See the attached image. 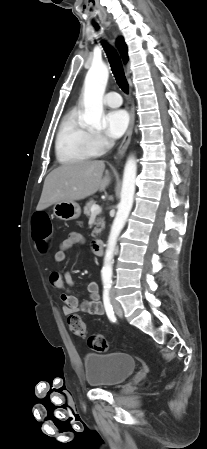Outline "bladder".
<instances>
[{
	"label": "bladder",
	"instance_id": "obj_1",
	"mask_svg": "<svg viewBox=\"0 0 207 449\" xmlns=\"http://www.w3.org/2000/svg\"><path fill=\"white\" fill-rule=\"evenodd\" d=\"M83 367L89 385L112 387L133 374L136 362L131 355L122 352L87 353L83 358Z\"/></svg>",
	"mask_w": 207,
	"mask_h": 449
}]
</instances>
